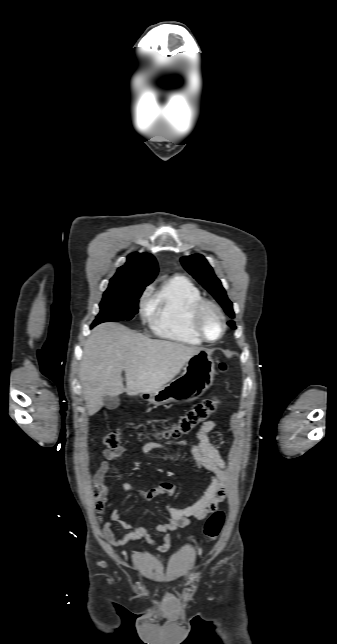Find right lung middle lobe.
Instances as JSON below:
<instances>
[{
  "label": "right lung middle lobe",
  "mask_w": 337,
  "mask_h": 644,
  "mask_svg": "<svg viewBox=\"0 0 337 644\" xmlns=\"http://www.w3.org/2000/svg\"><path fill=\"white\" fill-rule=\"evenodd\" d=\"M142 287L108 288L100 303V312L91 327L108 321L130 320L138 313Z\"/></svg>",
  "instance_id": "right-lung-middle-lobe-1"
}]
</instances>
